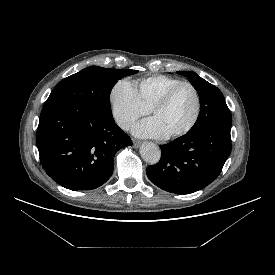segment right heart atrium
<instances>
[{
  "label": "right heart atrium",
  "instance_id": "obj_1",
  "mask_svg": "<svg viewBox=\"0 0 275 275\" xmlns=\"http://www.w3.org/2000/svg\"><path fill=\"white\" fill-rule=\"evenodd\" d=\"M112 115L124 130L129 129L149 110L141 102L136 86L127 79L119 80L110 92Z\"/></svg>",
  "mask_w": 275,
  "mask_h": 275
}]
</instances>
